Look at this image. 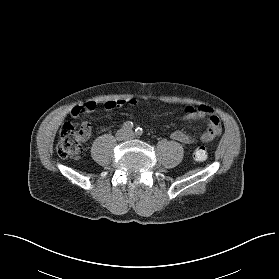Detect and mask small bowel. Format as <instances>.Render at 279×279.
Masks as SVG:
<instances>
[{
	"label": "small bowel",
	"instance_id": "1",
	"mask_svg": "<svg viewBox=\"0 0 279 279\" xmlns=\"http://www.w3.org/2000/svg\"><path fill=\"white\" fill-rule=\"evenodd\" d=\"M93 105L97 104H103L104 107L107 110L115 109L116 107H121L124 105H134L135 100L134 99H112V98H103V97H95L92 102ZM84 108L88 109V105H86ZM213 112L212 108L209 106H199V107H188L186 114L184 115V119H196V118H204L206 116L209 117V115ZM69 115L73 118H77L80 116L79 109L77 107L70 110ZM217 120L219 121V118L217 117ZM210 122V120H209ZM208 133L205 131L201 135V140L203 141L204 137ZM171 139L175 141H179L182 143H192L194 142L195 138L189 134H186L185 132L181 130H175L170 135Z\"/></svg>",
	"mask_w": 279,
	"mask_h": 279
}]
</instances>
